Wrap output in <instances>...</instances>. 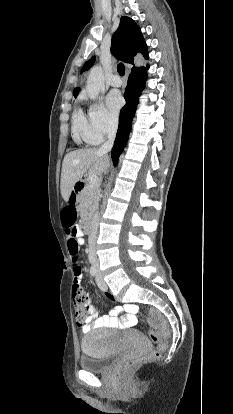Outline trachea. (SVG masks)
<instances>
[{"label": "trachea", "mask_w": 233, "mask_h": 414, "mask_svg": "<svg viewBox=\"0 0 233 414\" xmlns=\"http://www.w3.org/2000/svg\"><path fill=\"white\" fill-rule=\"evenodd\" d=\"M117 71L121 76L125 75V67L122 63H119L117 66Z\"/></svg>", "instance_id": "3493384b"}]
</instances>
